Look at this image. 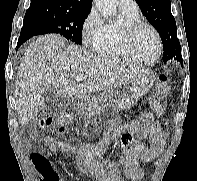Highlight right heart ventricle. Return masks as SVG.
<instances>
[{"label":"right heart ventricle","instance_id":"right-heart-ventricle-1","mask_svg":"<svg viewBox=\"0 0 197 181\" xmlns=\"http://www.w3.org/2000/svg\"><path fill=\"white\" fill-rule=\"evenodd\" d=\"M139 9H120V19L106 25L100 40L94 45L95 51L108 58L132 59L124 49L121 39L122 29L125 25L140 20Z\"/></svg>","mask_w":197,"mask_h":181}]
</instances>
